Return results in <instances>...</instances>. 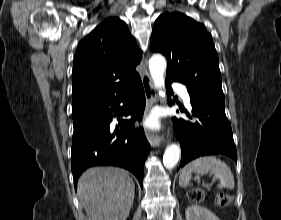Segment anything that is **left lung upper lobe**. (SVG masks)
I'll return each instance as SVG.
<instances>
[{
	"mask_svg": "<svg viewBox=\"0 0 281 220\" xmlns=\"http://www.w3.org/2000/svg\"><path fill=\"white\" fill-rule=\"evenodd\" d=\"M150 47L167 58L166 80L224 103L217 52L203 24L182 13L165 12L155 21Z\"/></svg>",
	"mask_w": 281,
	"mask_h": 220,
	"instance_id": "5c2ea615",
	"label": "left lung upper lobe"
}]
</instances>
